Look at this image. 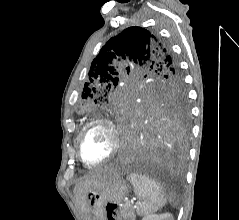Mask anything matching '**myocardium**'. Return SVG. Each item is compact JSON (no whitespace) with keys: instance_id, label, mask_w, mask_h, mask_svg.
Segmentation results:
<instances>
[{"instance_id":"f54148a6","label":"myocardium","mask_w":239,"mask_h":220,"mask_svg":"<svg viewBox=\"0 0 239 220\" xmlns=\"http://www.w3.org/2000/svg\"><path fill=\"white\" fill-rule=\"evenodd\" d=\"M95 126L106 127L112 135V141L113 142H112L111 151L109 152V154L105 158H103L99 161H96V162H90V161H87L82 154V142H83V138H84L85 134L91 128H93ZM77 146H78V157H79L80 161L86 166L95 167V166H98V165H101V164H104V163L108 162L109 160H111L117 154V152L120 148L119 132H118L116 126L110 120H108L106 118H97V119H94V120L88 122L83 127V129L80 131L78 139H77Z\"/></svg>"}]
</instances>
